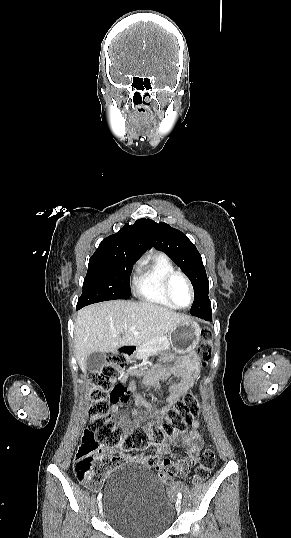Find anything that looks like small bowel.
<instances>
[{"instance_id": "obj_1", "label": "small bowel", "mask_w": 291, "mask_h": 538, "mask_svg": "<svg viewBox=\"0 0 291 538\" xmlns=\"http://www.w3.org/2000/svg\"><path fill=\"white\" fill-rule=\"evenodd\" d=\"M172 371L173 378L176 382H172L170 384L169 394L166 397V404L154 413V417L156 418L165 416L166 413L176 404V402L193 387L197 375L200 372L199 356L197 354H188L177 366L173 368ZM130 374L131 371L124 374L120 379V384L123 385L128 380ZM161 377L166 379L168 378V374L164 370H159L157 373L145 377L144 382L149 387L157 388L159 386V379ZM126 388L129 392L130 390L134 391L135 385L134 383H131L130 386ZM135 402L137 406H142V397L135 394ZM111 413L119 423V426L123 429L125 435H128L135 427V424L138 423L142 418V415L137 408L133 409L129 415L121 414L120 404L117 402L112 403ZM199 428V421L193 420L191 423V428L187 432L182 431L179 432L175 437L166 438L164 443L161 445L162 447H166L168 445L175 444L181 446L186 451L188 460H181L173 465L175 472L182 477L186 476L191 466L196 463L198 453L203 446V438ZM151 445L157 446V444L154 443ZM165 453V449H161L157 456H163ZM114 458L118 465L123 462L144 464L152 457L143 456L140 454H119L118 456H114Z\"/></svg>"}]
</instances>
